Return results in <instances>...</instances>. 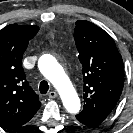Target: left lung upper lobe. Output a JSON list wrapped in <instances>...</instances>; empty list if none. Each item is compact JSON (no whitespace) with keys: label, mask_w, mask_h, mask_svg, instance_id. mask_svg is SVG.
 <instances>
[{"label":"left lung upper lobe","mask_w":133,"mask_h":133,"mask_svg":"<svg viewBox=\"0 0 133 133\" xmlns=\"http://www.w3.org/2000/svg\"><path fill=\"white\" fill-rule=\"evenodd\" d=\"M74 39L83 66L85 94L82 113L106 119L123 89L122 57L110 35L91 22L77 21Z\"/></svg>","instance_id":"obj_1"}]
</instances>
